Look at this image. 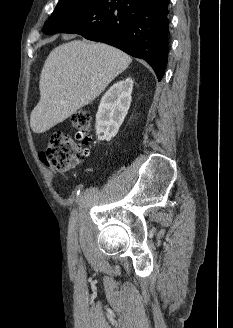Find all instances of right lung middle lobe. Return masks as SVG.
<instances>
[{
  "mask_svg": "<svg viewBox=\"0 0 233 328\" xmlns=\"http://www.w3.org/2000/svg\"><path fill=\"white\" fill-rule=\"evenodd\" d=\"M94 1L95 0H60L49 20L45 22L43 32L49 34L50 26L57 20L75 13Z\"/></svg>",
  "mask_w": 233,
  "mask_h": 328,
  "instance_id": "1",
  "label": "right lung middle lobe"
}]
</instances>
